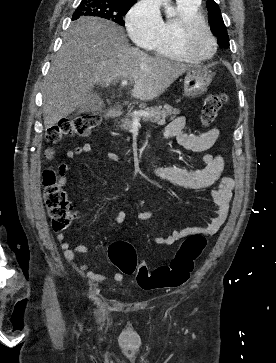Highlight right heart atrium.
<instances>
[{"label":"right heart atrium","instance_id":"d8ad5b80","mask_svg":"<svg viewBox=\"0 0 276 363\" xmlns=\"http://www.w3.org/2000/svg\"><path fill=\"white\" fill-rule=\"evenodd\" d=\"M129 35L139 45H150L159 35L162 17L156 0H140L126 15Z\"/></svg>","mask_w":276,"mask_h":363}]
</instances>
